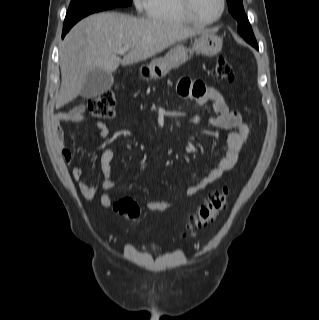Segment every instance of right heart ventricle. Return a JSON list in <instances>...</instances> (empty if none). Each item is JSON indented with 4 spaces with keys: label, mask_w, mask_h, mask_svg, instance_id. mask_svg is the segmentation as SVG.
Segmentation results:
<instances>
[{
    "label": "right heart ventricle",
    "mask_w": 319,
    "mask_h": 320,
    "mask_svg": "<svg viewBox=\"0 0 319 320\" xmlns=\"http://www.w3.org/2000/svg\"><path fill=\"white\" fill-rule=\"evenodd\" d=\"M148 16L157 22L168 24H191L183 13L179 0H152Z\"/></svg>",
    "instance_id": "right-heart-ventricle-1"
}]
</instances>
